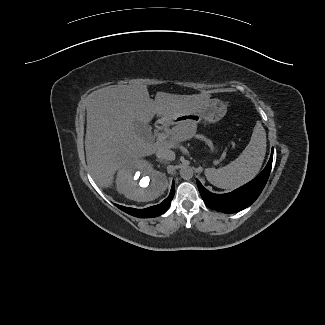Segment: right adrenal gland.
<instances>
[{"mask_svg": "<svg viewBox=\"0 0 325 325\" xmlns=\"http://www.w3.org/2000/svg\"><path fill=\"white\" fill-rule=\"evenodd\" d=\"M156 161L160 162V163H166L165 161L161 160V159H156Z\"/></svg>", "mask_w": 325, "mask_h": 325, "instance_id": "2a0ac1e0", "label": "right adrenal gland"}]
</instances>
